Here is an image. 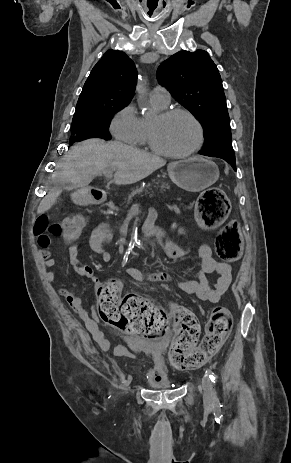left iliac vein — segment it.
Here are the masks:
<instances>
[{
  "mask_svg": "<svg viewBox=\"0 0 291 463\" xmlns=\"http://www.w3.org/2000/svg\"><path fill=\"white\" fill-rule=\"evenodd\" d=\"M202 388L204 391L203 400L207 406H211L213 403V391L211 381L207 375H204L202 378Z\"/></svg>",
  "mask_w": 291,
  "mask_h": 463,
  "instance_id": "1",
  "label": "left iliac vein"
}]
</instances>
